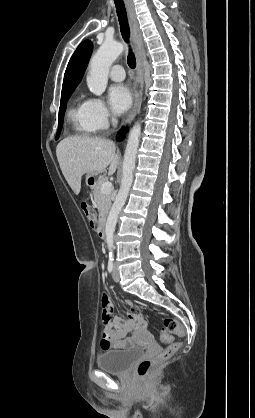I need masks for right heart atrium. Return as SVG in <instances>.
Wrapping results in <instances>:
<instances>
[{
    "mask_svg": "<svg viewBox=\"0 0 255 418\" xmlns=\"http://www.w3.org/2000/svg\"><path fill=\"white\" fill-rule=\"evenodd\" d=\"M87 113L90 125L94 131L106 129L113 120L108 108L100 98L87 100Z\"/></svg>",
    "mask_w": 255,
    "mask_h": 418,
    "instance_id": "right-heart-atrium-1",
    "label": "right heart atrium"
}]
</instances>
